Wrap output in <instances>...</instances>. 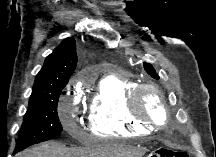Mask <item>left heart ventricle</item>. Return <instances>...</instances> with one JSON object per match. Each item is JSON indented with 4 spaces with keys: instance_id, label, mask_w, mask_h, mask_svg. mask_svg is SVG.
<instances>
[{
    "instance_id": "1",
    "label": "left heart ventricle",
    "mask_w": 216,
    "mask_h": 157,
    "mask_svg": "<svg viewBox=\"0 0 216 157\" xmlns=\"http://www.w3.org/2000/svg\"><path fill=\"white\" fill-rule=\"evenodd\" d=\"M143 105L145 111L149 113L156 121L160 122L162 120L163 113L154 92H146L143 99Z\"/></svg>"
}]
</instances>
